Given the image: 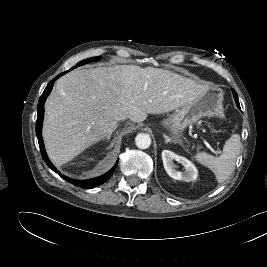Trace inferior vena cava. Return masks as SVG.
<instances>
[{"instance_id": "inferior-vena-cava-1", "label": "inferior vena cava", "mask_w": 267, "mask_h": 267, "mask_svg": "<svg viewBox=\"0 0 267 267\" xmlns=\"http://www.w3.org/2000/svg\"><path fill=\"white\" fill-rule=\"evenodd\" d=\"M117 119L118 120H123V119H125V117H118Z\"/></svg>"}]
</instances>
